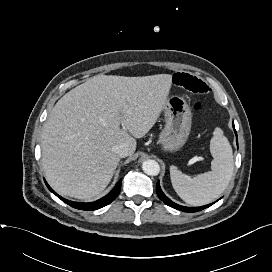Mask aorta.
I'll return each instance as SVG.
<instances>
[{"mask_svg": "<svg viewBox=\"0 0 272 272\" xmlns=\"http://www.w3.org/2000/svg\"><path fill=\"white\" fill-rule=\"evenodd\" d=\"M143 171L150 176H156L160 172V166L155 160H146L142 164Z\"/></svg>", "mask_w": 272, "mask_h": 272, "instance_id": "aorta-1", "label": "aorta"}]
</instances>
